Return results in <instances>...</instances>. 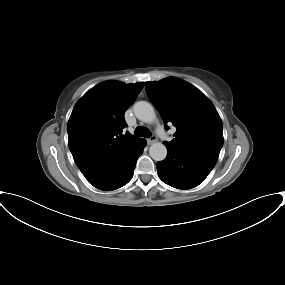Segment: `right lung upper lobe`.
<instances>
[{
    "instance_id": "1",
    "label": "right lung upper lobe",
    "mask_w": 285,
    "mask_h": 285,
    "mask_svg": "<svg viewBox=\"0 0 285 285\" xmlns=\"http://www.w3.org/2000/svg\"><path fill=\"white\" fill-rule=\"evenodd\" d=\"M143 82H102L77 101L67 125L69 148L83 175L96 170L115 155L138 142L127 133L124 113L134 103Z\"/></svg>"
}]
</instances>
